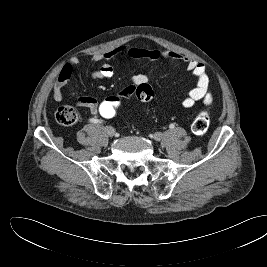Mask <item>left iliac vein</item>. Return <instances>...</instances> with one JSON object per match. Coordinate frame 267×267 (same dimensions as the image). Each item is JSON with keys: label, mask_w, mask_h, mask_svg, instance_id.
<instances>
[{"label": "left iliac vein", "mask_w": 267, "mask_h": 267, "mask_svg": "<svg viewBox=\"0 0 267 267\" xmlns=\"http://www.w3.org/2000/svg\"><path fill=\"white\" fill-rule=\"evenodd\" d=\"M153 138L156 140V141H161L163 138H164V134L161 133V132H155L153 134Z\"/></svg>", "instance_id": "obj_1"}]
</instances>
